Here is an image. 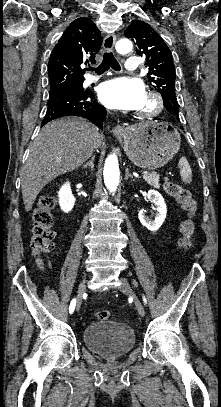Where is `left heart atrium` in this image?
<instances>
[{
	"instance_id": "obj_1",
	"label": "left heart atrium",
	"mask_w": 221,
	"mask_h": 407,
	"mask_svg": "<svg viewBox=\"0 0 221 407\" xmlns=\"http://www.w3.org/2000/svg\"><path fill=\"white\" fill-rule=\"evenodd\" d=\"M99 98L112 109H140L145 102L146 91L138 79L117 77L100 86Z\"/></svg>"
}]
</instances>
